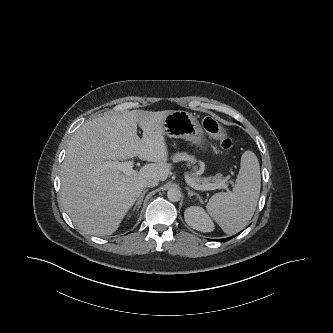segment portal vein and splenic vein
Here are the masks:
<instances>
[{
	"instance_id": "1",
	"label": "portal vein and splenic vein",
	"mask_w": 333,
	"mask_h": 333,
	"mask_svg": "<svg viewBox=\"0 0 333 333\" xmlns=\"http://www.w3.org/2000/svg\"><path fill=\"white\" fill-rule=\"evenodd\" d=\"M105 167L117 169L121 172H123L126 175H132L135 173L133 170L134 167V161H126V162H119V161H106L104 163ZM185 180L189 186L196 190H215L218 188H225L228 190L227 185L225 182H221L219 184L210 183L205 185H199L195 183L192 178H190L188 175L185 176Z\"/></svg>"
}]
</instances>
